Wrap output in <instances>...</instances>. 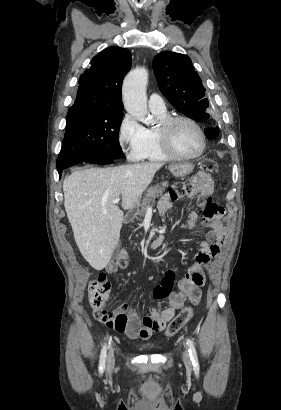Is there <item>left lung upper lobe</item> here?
<instances>
[{
    "label": "left lung upper lobe",
    "instance_id": "obj_1",
    "mask_svg": "<svg viewBox=\"0 0 281 410\" xmlns=\"http://www.w3.org/2000/svg\"><path fill=\"white\" fill-rule=\"evenodd\" d=\"M153 70L161 92L179 112L197 121L209 119L205 89L187 55L161 52L153 60ZM218 133L213 127L210 135Z\"/></svg>",
    "mask_w": 281,
    "mask_h": 410
}]
</instances>
